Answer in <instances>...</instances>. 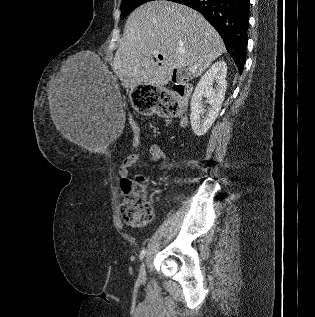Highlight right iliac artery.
<instances>
[{"mask_svg": "<svg viewBox=\"0 0 315 317\" xmlns=\"http://www.w3.org/2000/svg\"><path fill=\"white\" fill-rule=\"evenodd\" d=\"M145 254H146V250L143 249V250L141 251V253H140V256H139L140 260H142V259L144 258Z\"/></svg>", "mask_w": 315, "mask_h": 317, "instance_id": "1", "label": "right iliac artery"}]
</instances>
